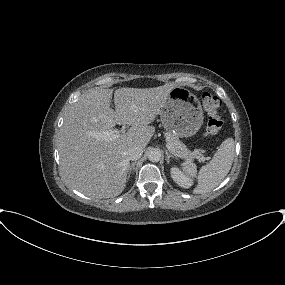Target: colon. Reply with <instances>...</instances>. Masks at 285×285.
Returning a JSON list of instances; mask_svg holds the SVG:
<instances>
[{
  "mask_svg": "<svg viewBox=\"0 0 285 285\" xmlns=\"http://www.w3.org/2000/svg\"><path fill=\"white\" fill-rule=\"evenodd\" d=\"M202 105L207 114L205 136L210 138L215 136L222 127L221 100L216 95L205 92L202 94Z\"/></svg>",
  "mask_w": 285,
  "mask_h": 285,
  "instance_id": "5ec220e1",
  "label": "colon"
}]
</instances>
